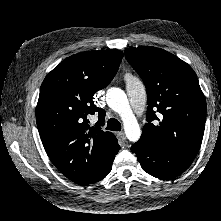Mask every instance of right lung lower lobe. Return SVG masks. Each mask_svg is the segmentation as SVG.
Listing matches in <instances>:
<instances>
[{
	"instance_id": "right-lung-lower-lobe-1",
	"label": "right lung lower lobe",
	"mask_w": 221,
	"mask_h": 221,
	"mask_svg": "<svg viewBox=\"0 0 221 221\" xmlns=\"http://www.w3.org/2000/svg\"><path fill=\"white\" fill-rule=\"evenodd\" d=\"M119 151V150H118ZM118 153V152H117ZM113 162V161H112ZM112 162L111 164L107 167V169L102 173L100 174L98 177L94 178V179H91V180H87L85 182H81L80 184H91V183H94V182H98L100 180H102L103 178H105L109 172L111 171L112 169Z\"/></svg>"
}]
</instances>
